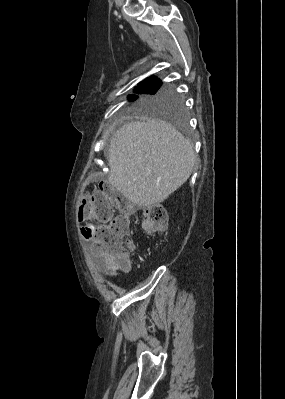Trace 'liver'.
Returning a JSON list of instances; mask_svg holds the SVG:
<instances>
[{
	"mask_svg": "<svg viewBox=\"0 0 285 399\" xmlns=\"http://www.w3.org/2000/svg\"><path fill=\"white\" fill-rule=\"evenodd\" d=\"M107 159L110 184L133 204L146 207L163 202L187 181L195 153L170 124L149 119L120 127Z\"/></svg>",
	"mask_w": 285,
	"mask_h": 399,
	"instance_id": "obj_1",
	"label": "liver"
}]
</instances>
